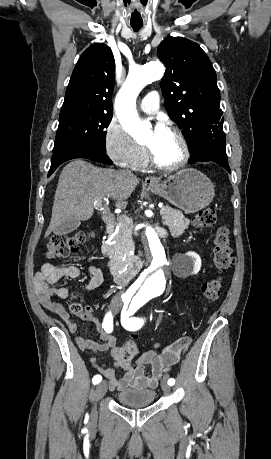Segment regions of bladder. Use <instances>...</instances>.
<instances>
[{
    "instance_id": "31cf9c89",
    "label": "bladder",
    "mask_w": 271,
    "mask_h": 459,
    "mask_svg": "<svg viewBox=\"0 0 271 459\" xmlns=\"http://www.w3.org/2000/svg\"><path fill=\"white\" fill-rule=\"evenodd\" d=\"M155 393L153 390L128 389L119 393V404L124 405H147L152 404Z\"/></svg>"
}]
</instances>
